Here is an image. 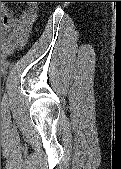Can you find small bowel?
Segmentation results:
<instances>
[{"mask_svg": "<svg viewBox=\"0 0 121 169\" xmlns=\"http://www.w3.org/2000/svg\"><path fill=\"white\" fill-rule=\"evenodd\" d=\"M37 17L35 8H30L20 15L9 10L4 11L2 52L5 56L15 53L27 43Z\"/></svg>", "mask_w": 121, "mask_h": 169, "instance_id": "1", "label": "small bowel"}]
</instances>
